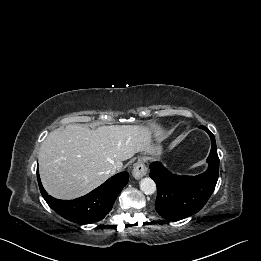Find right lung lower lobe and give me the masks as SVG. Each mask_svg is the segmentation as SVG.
Segmentation results:
<instances>
[{"label": "right lung lower lobe", "instance_id": "98d812e1", "mask_svg": "<svg viewBox=\"0 0 261 261\" xmlns=\"http://www.w3.org/2000/svg\"><path fill=\"white\" fill-rule=\"evenodd\" d=\"M40 192L48 205L65 219L89 224L100 221L112 209L115 199L128 183V172H121L108 179L92 192L74 200H59L51 197L44 190L37 173Z\"/></svg>", "mask_w": 261, "mask_h": 261}]
</instances>
